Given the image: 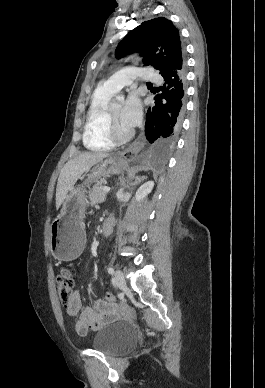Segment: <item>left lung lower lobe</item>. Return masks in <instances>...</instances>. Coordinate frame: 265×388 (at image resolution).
<instances>
[{"instance_id": "0a47b994", "label": "left lung lower lobe", "mask_w": 265, "mask_h": 388, "mask_svg": "<svg viewBox=\"0 0 265 388\" xmlns=\"http://www.w3.org/2000/svg\"><path fill=\"white\" fill-rule=\"evenodd\" d=\"M164 84L157 88L154 105L146 115L145 133L151 143L149 163L162 168L181 129L185 111L186 71L185 66L163 75Z\"/></svg>"}]
</instances>
